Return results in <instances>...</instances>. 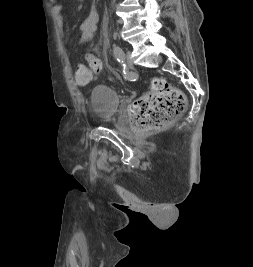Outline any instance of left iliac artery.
I'll use <instances>...</instances> for the list:
<instances>
[{"instance_id":"44dca946","label":"left iliac artery","mask_w":253,"mask_h":267,"mask_svg":"<svg viewBox=\"0 0 253 267\" xmlns=\"http://www.w3.org/2000/svg\"><path fill=\"white\" fill-rule=\"evenodd\" d=\"M113 51H114V56L117 59V61L120 63H124V58L122 56L123 50L121 49V47L118 45H114ZM123 66L125 67V64H123Z\"/></svg>"}]
</instances>
